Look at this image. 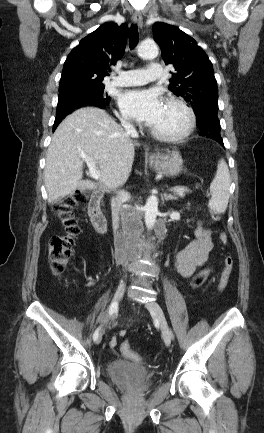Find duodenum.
Listing matches in <instances>:
<instances>
[{
    "mask_svg": "<svg viewBox=\"0 0 264 433\" xmlns=\"http://www.w3.org/2000/svg\"><path fill=\"white\" fill-rule=\"evenodd\" d=\"M102 197V192L98 191L93 193L87 206V212L91 223L99 234H105L108 230L107 219L100 209Z\"/></svg>",
    "mask_w": 264,
    "mask_h": 433,
    "instance_id": "duodenum-1",
    "label": "duodenum"
}]
</instances>
